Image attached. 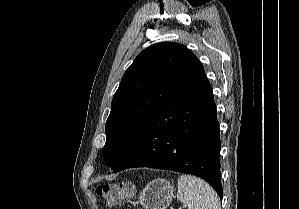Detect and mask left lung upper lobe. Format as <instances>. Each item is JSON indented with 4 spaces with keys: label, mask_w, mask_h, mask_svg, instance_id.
<instances>
[{
    "label": "left lung upper lobe",
    "mask_w": 299,
    "mask_h": 209,
    "mask_svg": "<svg viewBox=\"0 0 299 209\" xmlns=\"http://www.w3.org/2000/svg\"><path fill=\"white\" fill-rule=\"evenodd\" d=\"M202 71L197 57L178 43L154 44L139 53L113 96L102 150L106 165L114 169L159 109Z\"/></svg>",
    "instance_id": "1"
}]
</instances>
